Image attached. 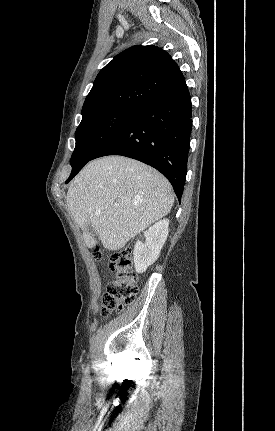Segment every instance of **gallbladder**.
Returning <instances> with one entry per match:
<instances>
[{
    "instance_id": "1",
    "label": "gallbladder",
    "mask_w": 275,
    "mask_h": 431,
    "mask_svg": "<svg viewBox=\"0 0 275 431\" xmlns=\"http://www.w3.org/2000/svg\"><path fill=\"white\" fill-rule=\"evenodd\" d=\"M86 229H87L88 233H89L91 236H96V235H97V232L95 231V229L92 227V225H91L90 223H88V224L86 225Z\"/></svg>"
}]
</instances>
